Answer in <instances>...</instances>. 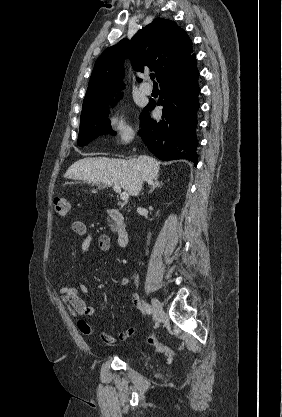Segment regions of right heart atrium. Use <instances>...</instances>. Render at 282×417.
<instances>
[{
    "mask_svg": "<svg viewBox=\"0 0 282 417\" xmlns=\"http://www.w3.org/2000/svg\"><path fill=\"white\" fill-rule=\"evenodd\" d=\"M111 124L116 130H118L123 138L127 141L131 137V129L125 124L121 117H113L111 119Z\"/></svg>",
    "mask_w": 282,
    "mask_h": 417,
    "instance_id": "right-heart-atrium-1",
    "label": "right heart atrium"
}]
</instances>
